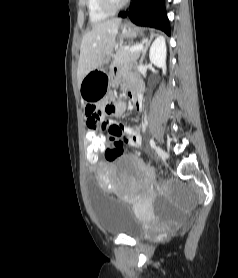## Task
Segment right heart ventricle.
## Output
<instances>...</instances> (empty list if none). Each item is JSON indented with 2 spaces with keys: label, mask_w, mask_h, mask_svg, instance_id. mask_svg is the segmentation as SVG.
Masks as SVG:
<instances>
[{
  "label": "right heart ventricle",
  "mask_w": 238,
  "mask_h": 278,
  "mask_svg": "<svg viewBox=\"0 0 238 278\" xmlns=\"http://www.w3.org/2000/svg\"><path fill=\"white\" fill-rule=\"evenodd\" d=\"M89 19L92 23H99L108 18L109 13L103 11L98 0H86Z\"/></svg>",
  "instance_id": "e07e8e85"
}]
</instances>
